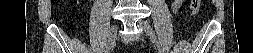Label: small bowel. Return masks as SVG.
Masks as SVG:
<instances>
[{
    "instance_id": "obj_1",
    "label": "small bowel",
    "mask_w": 253,
    "mask_h": 53,
    "mask_svg": "<svg viewBox=\"0 0 253 53\" xmlns=\"http://www.w3.org/2000/svg\"><path fill=\"white\" fill-rule=\"evenodd\" d=\"M179 5H180V1H176V2L173 4V6H172L173 11H177L178 8H179Z\"/></svg>"
}]
</instances>
